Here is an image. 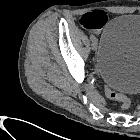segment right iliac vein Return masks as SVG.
<instances>
[{
	"instance_id": "obj_1",
	"label": "right iliac vein",
	"mask_w": 140,
	"mask_h": 140,
	"mask_svg": "<svg viewBox=\"0 0 140 140\" xmlns=\"http://www.w3.org/2000/svg\"><path fill=\"white\" fill-rule=\"evenodd\" d=\"M92 49L93 50L97 49V42L95 41V39L92 41Z\"/></svg>"
}]
</instances>
